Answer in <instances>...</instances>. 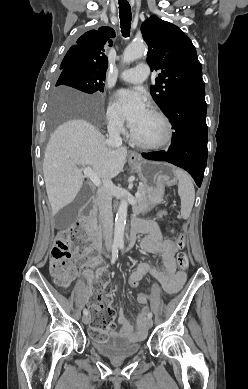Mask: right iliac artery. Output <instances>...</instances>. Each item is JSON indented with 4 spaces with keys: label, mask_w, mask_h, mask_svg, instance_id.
<instances>
[{
    "label": "right iliac artery",
    "mask_w": 248,
    "mask_h": 389,
    "mask_svg": "<svg viewBox=\"0 0 248 389\" xmlns=\"http://www.w3.org/2000/svg\"><path fill=\"white\" fill-rule=\"evenodd\" d=\"M117 258H118V251L113 254L112 259H111V264H113ZM83 314L88 315L89 314L88 310L84 309Z\"/></svg>",
    "instance_id": "82829eb1"
}]
</instances>
